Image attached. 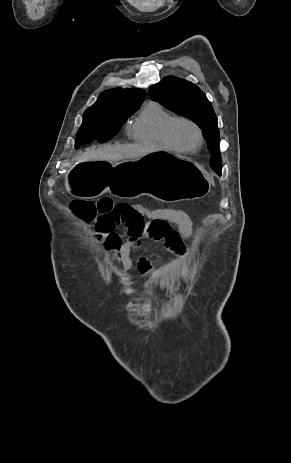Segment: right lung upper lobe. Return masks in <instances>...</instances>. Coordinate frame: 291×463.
<instances>
[{"mask_svg": "<svg viewBox=\"0 0 291 463\" xmlns=\"http://www.w3.org/2000/svg\"><path fill=\"white\" fill-rule=\"evenodd\" d=\"M146 92L143 89H122L115 88L102 92L96 101L88 109L110 107L127 108L131 105L141 103L145 98Z\"/></svg>", "mask_w": 291, "mask_h": 463, "instance_id": "1", "label": "right lung upper lobe"}]
</instances>
